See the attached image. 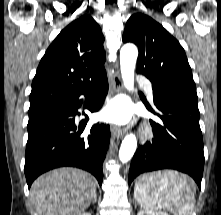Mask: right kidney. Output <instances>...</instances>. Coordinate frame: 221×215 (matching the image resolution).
<instances>
[{
	"label": "right kidney",
	"mask_w": 221,
	"mask_h": 215,
	"mask_svg": "<svg viewBox=\"0 0 221 215\" xmlns=\"http://www.w3.org/2000/svg\"><path fill=\"white\" fill-rule=\"evenodd\" d=\"M80 215H91V214L88 212H84V213H81Z\"/></svg>",
	"instance_id": "right-kidney-1"
}]
</instances>
